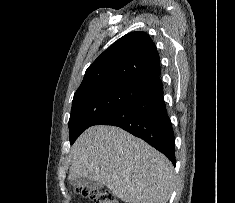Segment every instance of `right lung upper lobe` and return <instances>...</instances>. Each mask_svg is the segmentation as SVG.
<instances>
[{
    "label": "right lung upper lobe",
    "instance_id": "1",
    "mask_svg": "<svg viewBox=\"0 0 235 203\" xmlns=\"http://www.w3.org/2000/svg\"><path fill=\"white\" fill-rule=\"evenodd\" d=\"M160 73V57L149 35L131 32L113 43L88 67L78 90L111 81L149 87L160 81Z\"/></svg>",
    "mask_w": 235,
    "mask_h": 203
}]
</instances>
